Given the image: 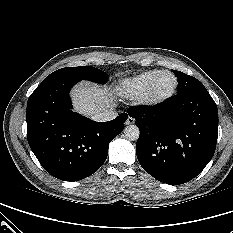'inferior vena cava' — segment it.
Masks as SVG:
<instances>
[{
    "label": "inferior vena cava",
    "mask_w": 233,
    "mask_h": 233,
    "mask_svg": "<svg viewBox=\"0 0 233 233\" xmlns=\"http://www.w3.org/2000/svg\"><path fill=\"white\" fill-rule=\"evenodd\" d=\"M117 116V113L115 111H104L100 113H96L92 116V119L95 121L105 122L115 119Z\"/></svg>",
    "instance_id": "1"
}]
</instances>
